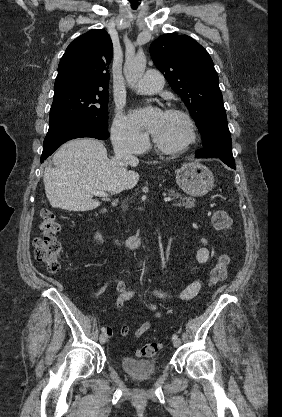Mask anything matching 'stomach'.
Returning a JSON list of instances; mask_svg holds the SVG:
<instances>
[{"label": "stomach", "instance_id": "0dacf381", "mask_svg": "<svg viewBox=\"0 0 282 417\" xmlns=\"http://www.w3.org/2000/svg\"><path fill=\"white\" fill-rule=\"evenodd\" d=\"M176 182L190 196H204L214 186V176L200 162H185L176 170Z\"/></svg>", "mask_w": 282, "mask_h": 417}]
</instances>
